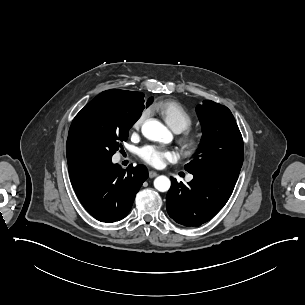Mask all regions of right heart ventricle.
<instances>
[{"label": "right heart ventricle", "mask_w": 305, "mask_h": 305, "mask_svg": "<svg viewBox=\"0 0 305 305\" xmlns=\"http://www.w3.org/2000/svg\"><path fill=\"white\" fill-rule=\"evenodd\" d=\"M152 108L175 132L186 131L195 123L192 115L177 102L159 101L154 103Z\"/></svg>", "instance_id": "right-heart-ventricle-1"}]
</instances>
